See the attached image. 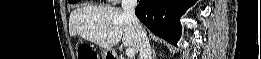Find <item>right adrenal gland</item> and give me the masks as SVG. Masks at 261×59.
Instances as JSON below:
<instances>
[{
	"label": "right adrenal gland",
	"mask_w": 261,
	"mask_h": 59,
	"mask_svg": "<svg viewBox=\"0 0 261 59\" xmlns=\"http://www.w3.org/2000/svg\"><path fill=\"white\" fill-rule=\"evenodd\" d=\"M153 55L155 56V52H154V50H153Z\"/></svg>",
	"instance_id": "right-adrenal-gland-1"
}]
</instances>
